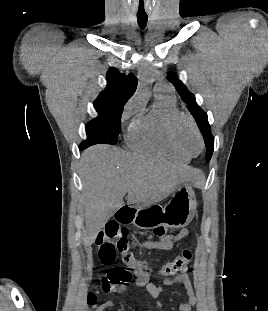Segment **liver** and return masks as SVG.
I'll list each match as a JSON object with an SVG mask.
<instances>
[{
  "label": "liver",
  "instance_id": "1",
  "mask_svg": "<svg viewBox=\"0 0 268 311\" xmlns=\"http://www.w3.org/2000/svg\"><path fill=\"white\" fill-rule=\"evenodd\" d=\"M200 172L186 165L147 158L108 145L82 153L80 178L85 245H91L112 214L124 204L149 206L172 194L180 185L198 179Z\"/></svg>",
  "mask_w": 268,
  "mask_h": 311
}]
</instances>
